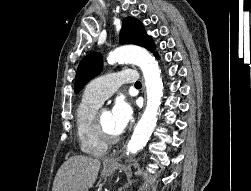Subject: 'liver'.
<instances>
[{
  "label": "liver",
  "instance_id": "liver-1",
  "mask_svg": "<svg viewBox=\"0 0 251 191\" xmlns=\"http://www.w3.org/2000/svg\"><path fill=\"white\" fill-rule=\"evenodd\" d=\"M100 165V159L71 155L59 167L52 191H88L96 181Z\"/></svg>",
  "mask_w": 251,
  "mask_h": 191
}]
</instances>
